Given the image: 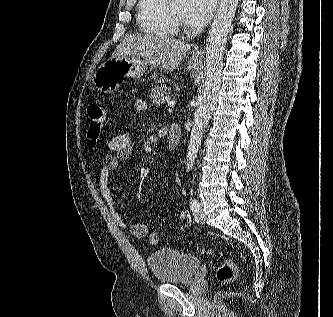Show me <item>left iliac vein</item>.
Segmentation results:
<instances>
[{
    "label": "left iliac vein",
    "instance_id": "1",
    "mask_svg": "<svg viewBox=\"0 0 333 317\" xmlns=\"http://www.w3.org/2000/svg\"><path fill=\"white\" fill-rule=\"evenodd\" d=\"M194 219L199 224H205L206 219L203 213V205L199 202L198 207L193 212Z\"/></svg>",
    "mask_w": 333,
    "mask_h": 317
}]
</instances>
